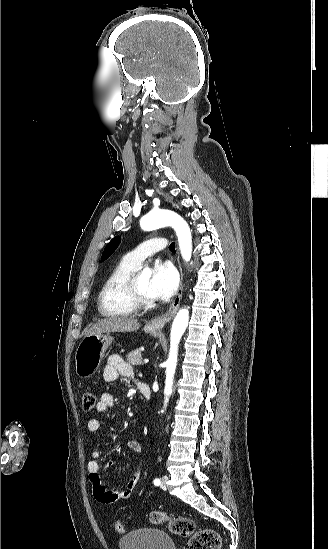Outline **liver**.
<instances>
[{
  "label": "liver",
  "instance_id": "6515ba94",
  "mask_svg": "<svg viewBox=\"0 0 328 549\" xmlns=\"http://www.w3.org/2000/svg\"><path fill=\"white\" fill-rule=\"evenodd\" d=\"M140 323L138 319L131 317H106L94 323L86 335H100V333H132L139 329Z\"/></svg>",
  "mask_w": 328,
  "mask_h": 549
}]
</instances>
